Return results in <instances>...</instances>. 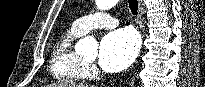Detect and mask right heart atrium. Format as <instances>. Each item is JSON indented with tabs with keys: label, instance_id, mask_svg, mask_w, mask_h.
<instances>
[{
	"label": "right heart atrium",
	"instance_id": "d8ad5b80",
	"mask_svg": "<svg viewBox=\"0 0 205 87\" xmlns=\"http://www.w3.org/2000/svg\"><path fill=\"white\" fill-rule=\"evenodd\" d=\"M85 72H86L87 76H93L96 74V68L93 64L86 63L85 64Z\"/></svg>",
	"mask_w": 205,
	"mask_h": 87
}]
</instances>
